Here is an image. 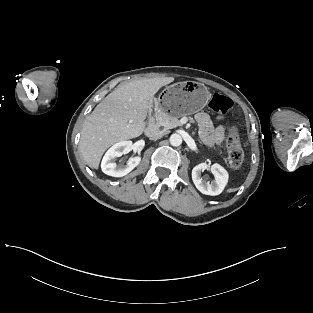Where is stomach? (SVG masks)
Masks as SVG:
<instances>
[{
    "mask_svg": "<svg viewBox=\"0 0 313 313\" xmlns=\"http://www.w3.org/2000/svg\"><path fill=\"white\" fill-rule=\"evenodd\" d=\"M209 98L210 94L203 84L183 81L167 86L159 97L153 100V106L157 111L180 117L200 111L206 106Z\"/></svg>",
    "mask_w": 313,
    "mask_h": 313,
    "instance_id": "stomach-1",
    "label": "stomach"
}]
</instances>
